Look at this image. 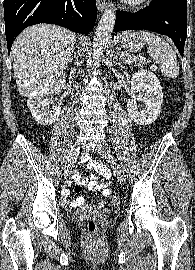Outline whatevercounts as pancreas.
Masks as SVG:
<instances>
[{
    "label": "pancreas",
    "mask_w": 195,
    "mask_h": 270,
    "mask_svg": "<svg viewBox=\"0 0 195 270\" xmlns=\"http://www.w3.org/2000/svg\"><path fill=\"white\" fill-rule=\"evenodd\" d=\"M121 61L123 63L134 64L139 67L143 66V61L134 55L125 54V56L121 58Z\"/></svg>",
    "instance_id": "cf45deb5"
}]
</instances>
